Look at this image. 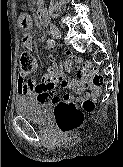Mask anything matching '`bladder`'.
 Instances as JSON below:
<instances>
[{
    "mask_svg": "<svg viewBox=\"0 0 123 167\" xmlns=\"http://www.w3.org/2000/svg\"><path fill=\"white\" fill-rule=\"evenodd\" d=\"M51 108V102L27 97L18 98L15 102L17 114L37 124H45L47 122Z\"/></svg>",
    "mask_w": 123,
    "mask_h": 167,
    "instance_id": "obj_1",
    "label": "bladder"
}]
</instances>
